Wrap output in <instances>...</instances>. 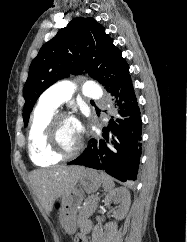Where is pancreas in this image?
Here are the masks:
<instances>
[{"label":"pancreas","mask_w":187,"mask_h":242,"mask_svg":"<svg viewBox=\"0 0 187 242\" xmlns=\"http://www.w3.org/2000/svg\"><path fill=\"white\" fill-rule=\"evenodd\" d=\"M98 200L99 198L95 195L87 197V199L85 200L84 206L81 209L79 214L84 217L91 216L97 208Z\"/></svg>","instance_id":"1"}]
</instances>
